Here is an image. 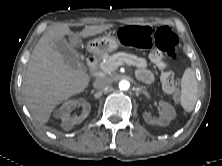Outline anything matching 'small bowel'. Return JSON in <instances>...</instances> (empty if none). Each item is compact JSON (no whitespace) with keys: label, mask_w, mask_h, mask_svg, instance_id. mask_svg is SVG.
Here are the masks:
<instances>
[{"label":"small bowel","mask_w":222,"mask_h":166,"mask_svg":"<svg viewBox=\"0 0 222 166\" xmlns=\"http://www.w3.org/2000/svg\"><path fill=\"white\" fill-rule=\"evenodd\" d=\"M151 60L162 70L167 71V62L163 54L159 51H154L150 55ZM137 76L140 80L145 82H151L153 80V74L149 70H139ZM167 93H172L171 90L164 88Z\"/></svg>","instance_id":"obj_1"}]
</instances>
